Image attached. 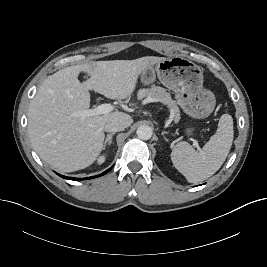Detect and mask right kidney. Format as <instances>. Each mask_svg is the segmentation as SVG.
<instances>
[{"mask_svg": "<svg viewBox=\"0 0 267 267\" xmlns=\"http://www.w3.org/2000/svg\"><path fill=\"white\" fill-rule=\"evenodd\" d=\"M105 160H106V156H100L98 159H97V162H98V164H102V163H104L105 162Z\"/></svg>", "mask_w": 267, "mask_h": 267, "instance_id": "right-kidney-1", "label": "right kidney"}]
</instances>
